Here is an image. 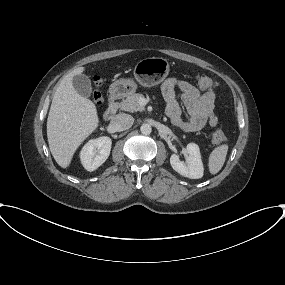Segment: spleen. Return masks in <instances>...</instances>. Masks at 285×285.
Returning a JSON list of instances; mask_svg holds the SVG:
<instances>
[{
	"label": "spleen",
	"instance_id": "1",
	"mask_svg": "<svg viewBox=\"0 0 285 285\" xmlns=\"http://www.w3.org/2000/svg\"><path fill=\"white\" fill-rule=\"evenodd\" d=\"M228 152V145L222 144L216 147L209 155L208 168L211 174H217L224 165Z\"/></svg>",
	"mask_w": 285,
	"mask_h": 285
}]
</instances>
